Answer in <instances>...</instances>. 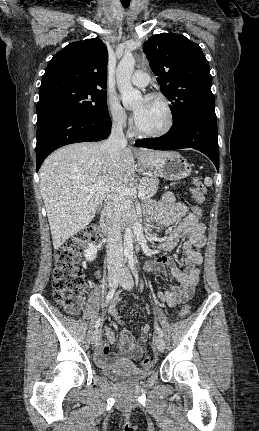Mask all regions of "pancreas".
Segmentation results:
<instances>
[{"mask_svg": "<svg viewBox=\"0 0 259 431\" xmlns=\"http://www.w3.org/2000/svg\"><path fill=\"white\" fill-rule=\"evenodd\" d=\"M159 180L155 177H144L139 180L140 190L144 191L147 198L154 196L158 189ZM123 208L121 210V221L126 222L129 219L134 218L135 209L132 200L128 197L121 199Z\"/></svg>", "mask_w": 259, "mask_h": 431, "instance_id": "1", "label": "pancreas"}]
</instances>
